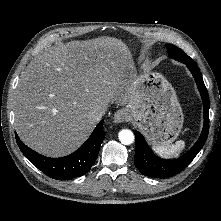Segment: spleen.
<instances>
[{"label": "spleen", "mask_w": 221, "mask_h": 221, "mask_svg": "<svg viewBox=\"0 0 221 221\" xmlns=\"http://www.w3.org/2000/svg\"><path fill=\"white\" fill-rule=\"evenodd\" d=\"M185 147V141L179 140L175 144L156 145L153 146V151L161 157L169 158L176 156Z\"/></svg>", "instance_id": "3e777b00"}]
</instances>
